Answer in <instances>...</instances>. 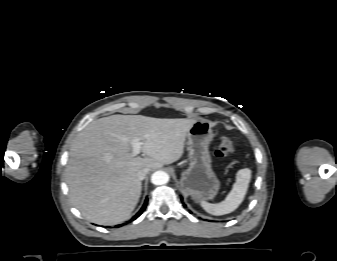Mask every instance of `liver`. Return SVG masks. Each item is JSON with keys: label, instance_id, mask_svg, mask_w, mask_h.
I'll list each match as a JSON object with an SVG mask.
<instances>
[{"label": "liver", "instance_id": "1", "mask_svg": "<svg viewBox=\"0 0 337 261\" xmlns=\"http://www.w3.org/2000/svg\"><path fill=\"white\" fill-rule=\"evenodd\" d=\"M194 119L111 115L88 124L73 141L65 170L72 204L90 222L115 225L135 209L142 184L138 172L179 160ZM139 139L146 157L133 156Z\"/></svg>", "mask_w": 337, "mask_h": 261}]
</instances>
